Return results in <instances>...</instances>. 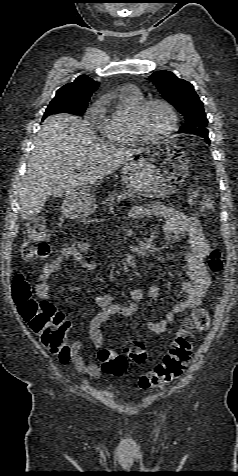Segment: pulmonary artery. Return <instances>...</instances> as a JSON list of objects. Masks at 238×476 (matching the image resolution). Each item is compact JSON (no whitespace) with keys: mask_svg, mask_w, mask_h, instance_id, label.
Wrapping results in <instances>:
<instances>
[{"mask_svg":"<svg viewBox=\"0 0 238 476\" xmlns=\"http://www.w3.org/2000/svg\"><path fill=\"white\" fill-rule=\"evenodd\" d=\"M129 90H135V88H128Z\"/></svg>","mask_w":238,"mask_h":476,"instance_id":"1","label":"pulmonary artery"}]
</instances>
